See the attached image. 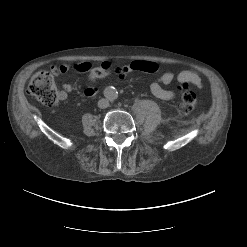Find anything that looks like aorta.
<instances>
[{
	"label": "aorta",
	"instance_id": "762f6f07",
	"mask_svg": "<svg viewBox=\"0 0 247 247\" xmlns=\"http://www.w3.org/2000/svg\"><path fill=\"white\" fill-rule=\"evenodd\" d=\"M105 96L108 100L113 101L118 98V91L115 87L109 86L104 91Z\"/></svg>",
	"mask_w": 247,
	"mask_h": 247
}]
</instances>
